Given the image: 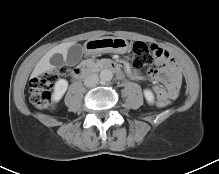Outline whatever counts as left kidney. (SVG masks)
Returning <instances> with one entry per match:
<instances>
[{
	"instance_id": "1",
	"label": "left kidney",
	"mask_w": 219,
	"mask_h": 174,
	"mask_svg": "<svg viewBox=\"0 0 219 174\" xmlns=\"http://www.w3.org/2000/svg\"><path fill=\"white\" fill-rule=\"evenodd\" d=\"M144 96H145L146 101L149 104H151V105L154 104V94L152 93L151 90L145 89L144 90Z\"/></svg>"
}]
</instances>
